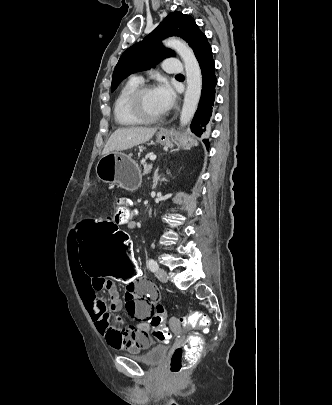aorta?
<instances>
[{
	"label": "aorta",
	"mask_w": 332,
	"mask_h": 405,
	"mask_svg": "<svg viewBox=\"0 0 332 405\" xmlns=\"http://www.w3.org/2000/svg\"><path fill=\"white\" fill-rule=\"evenodd\" d=\"M164 44L179 54L185 66L187 88L180 113V124L185 126L191 122L200 101L202 91L201 69L193 50L187 43L177 38H168Z\"/></svg>",
	"instance_id": "aorta-1"
}]
</instances>
